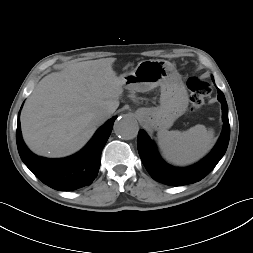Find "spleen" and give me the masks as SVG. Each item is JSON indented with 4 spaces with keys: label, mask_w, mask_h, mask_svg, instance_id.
I'll use <instances>...</instances> for the list:
<instances>
[{
    "label": "spleen",
    "mask_w": 253,
    "mask_h": 253,
    "mask_svg": "<svg viewBox=\"0 0 253 253\" xmlns=\"http://www.w3.org/2000/svg\"><path fill=\"white\" fill-rule=\"evenodd\" d=\"M157 136L166 159L177 165H186L199 160L214 145L213 130H207L200 124L183 132L161 130Z\"/></svg>",
    "instance_id": "1"
}]
</instances>
